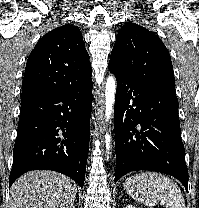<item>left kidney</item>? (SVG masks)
Returning <instances> with one entry per match:
<instances>
[{"mask_svg": "<svg viewBox=\"0 0 199 208\" xmlns=\"http://www.w3.org/2000/svg\"><path fill=\"white\" fill-rule=\"evenodd\" d=\"M126 208H136V207L133 205H127Z\"/></svg>", "mask_w": 199, "mask_h": 208, "instance_id": "1", "label": "left kidney"}]
</instances>
